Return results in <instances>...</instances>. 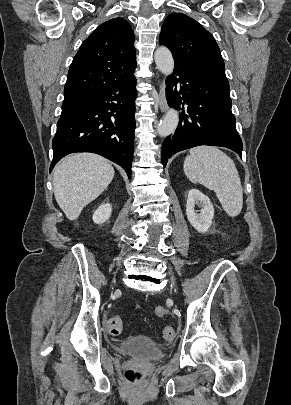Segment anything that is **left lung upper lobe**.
<instances>
[{
	"label": "left lung upper lobe",
	"mask_w": 291,
	"mask_h": 405,
	"mask_svg": "<svg viewBox=\"0 0 291 405\" xmlns=\"http://www.w3.org/2000/svg\"><path fill=\"white\" fill-rule=\"evenodd\" d=\"M159 42L172 52L175 64L225 73L219 47L197 21L182 13L168 15Z\"/></svg>",
	"instance_id": "obj_1"
}]
</instances>
